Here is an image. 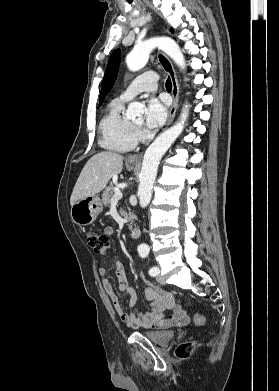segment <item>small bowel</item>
I'll list each match as a JSON object with an SVG mask.
<instances>
[{"label": "small bowel", "instance_id": "1", "mask_svg": "<svg viewBox=\"0 0 279 391\" xmlns=\"http://www.w3.org/2000/svg\"><path fill=\"white\" fill-rule=\"evenodd\" d=\"M105 234L112 235V228H106ZM114 266L118 280L117 290L127 293L130 296L129 306H133L136 296L134 290L129 286L124 266L119 260L115 262ZM99 274L104 276L102 284L116 313L120 320L128 327L142 329H168L171 327H181L189 324L190 319L186 310L175 299V297L171 293L151 285L143 275H140V277L148 284V287L145 289V297L151 303L150 309L137 313L125 312L120 304L119 297L111 280L108 277H105L106 269L100 268ZM167 311H170L168 316L166 315Z\"/></svg>", "mask_w": 279, "mask_h": 391}]
</instances>
